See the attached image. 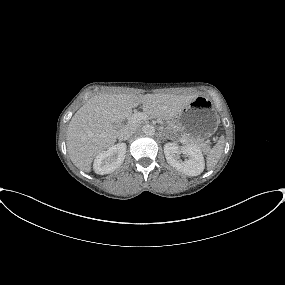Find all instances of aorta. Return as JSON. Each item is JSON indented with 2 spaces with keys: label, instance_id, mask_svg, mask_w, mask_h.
<instances>
[{
  "label": "aorta",
  "instance_id": "obj_1",
  "mask_svg": "<svg viewBox=\"0 0 285 285\" xmlns=\"http://www.w3.org/2000/svg\"><path fill=\"white\" fill-rule=\"evenodd\" d=\"M142 131L147 136H152L155 134V127L150 124H146L143 126Z\"/></svg>",
  "mask_w": 285,
  "mask_h": 285
}]
</instances>
